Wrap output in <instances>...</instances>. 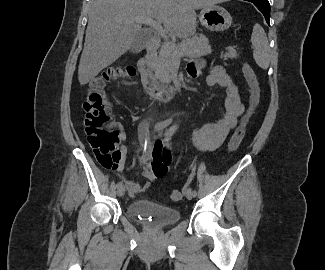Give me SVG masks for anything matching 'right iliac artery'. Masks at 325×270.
Here are the masks:
<instances>
[{"label":"right iliac artery","instance_id":"1","mask_svg":"<svg viewBox=\"0 0 325 270\" xmlns=\"http://www.w3.org/2000/svg\"><path fill=\"white\" fill-rule=\"evenodd\" d=\"M171 123H172V118L167 119V120L162 121V122H159V123H157L155 125V130L163 129V128L167 127L168 125H170ZM116 186L117 187L122 186V182H118Z\"/></svg>","mask_w":325,"mask_h":270}]
</instances>
